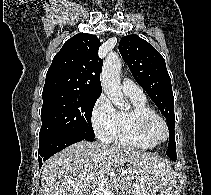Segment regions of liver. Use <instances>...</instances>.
<instances>
[{"label": "liver", "instance_id": "6515ba94", "mask_svg": "<svg viewBox=\"0 0 211 195\" xmlns=\"http://www.w3.org/2000/svg\"><path fill=\"white\" fill-rule=\"evenodd\" d=\"M172 179V168L158 155L81 141L43 164L41 185L43 195H96L101 184L128 194L155 195Z\"/></svg>", "mask_w": 211, "mask_h": 195}]
</instances>
